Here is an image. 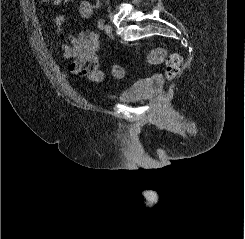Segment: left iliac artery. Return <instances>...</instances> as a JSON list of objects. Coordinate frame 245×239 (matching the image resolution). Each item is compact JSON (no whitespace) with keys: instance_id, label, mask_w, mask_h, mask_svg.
Masks as SVG:
<instances>
[{"instance_id":"44dca946","label":"left iliac artery","mask_w":245,"mask_h":239,"mask_svg":"<svg viewBox=\"0 0 245 239\" xmlns=\"http://www.w3.org/2000/svg\"><path fill=\"white\" fill-rule=\"evenodd\" d=\"M97 26L100 30H102L104 28V20L103 19H99L97 22Z\"/></svg>"}]
</instances>
